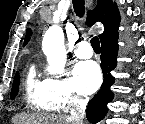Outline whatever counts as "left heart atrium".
<instances>
[{
  "label": "left heart atrium",
  "mask_w": 145,
  "mask_h": 124,
  "mask_svg": "<svg viewBox=\"0 0 145 124\" xmlns=\"http://www.w3.org/2000/svg\"><path fill=\"white\" fill-rule=\"evenodd\" d=\"M75 74L80 89L85 93H93L101 84L102 76L95 62H81L75 67Z\"/></svg>",
  "instance_id": "left-heart-atrium-1"
}]
</instances>
